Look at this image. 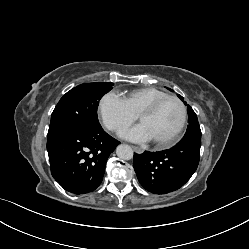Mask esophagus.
Segmentation results:
<instances>
[{
  "label": "esophagus",
  "instance_id": "obj_1",
  "mask_svg": "<svg viewBox=\"0 0 249 249\" xmlns=\"http://www.w3.org/2000/svg\"><path fill=\"white\" fill-rule=\"evenodd\" d=\"M133 150L138 153V154H141L143 153V149L140 148V147H137V146H132Z\"/></svg>",
  "mask_w": 249,
  "mask_h": 249
}]
</instances>
